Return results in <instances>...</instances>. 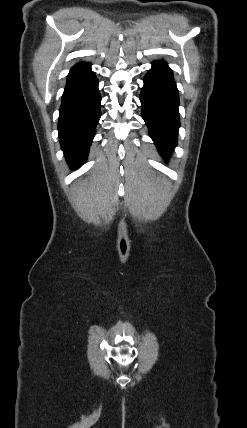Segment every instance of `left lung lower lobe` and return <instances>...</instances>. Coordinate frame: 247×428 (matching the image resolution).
<instances>
[{
	"instance_id": "obj_1",
	"label": "left lung lower lobe",
	"mask_w": 247,
	"mask_h": 428,
	"mask_svg": "<svg viewBox=\"0 0 247 428\" xmlns=\"http://www.w3.org/2000/svg\"><path fill=\"white\" fill-rule=\"evenodd\" d=\"M140 93L142 118L160 154L167 158L177 144L179 94L172 70L164 61H154Z\"/></svg>"
}]
</instances>
